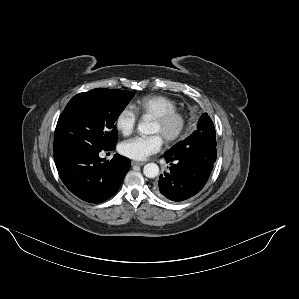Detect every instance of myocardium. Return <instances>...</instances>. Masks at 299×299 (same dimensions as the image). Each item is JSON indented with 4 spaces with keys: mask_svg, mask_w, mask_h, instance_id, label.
Returning a JSON list of instances; mask_svg holds the SVG:
<instances>
[{
    "mask_svg": "<svg viewBox=\"0 0 299 299\" xmlns=\"http://www.w3.org/2000/svg\"><path fill=\"white\" fill-rule=\"evenodd\" d=\"M153 120L162 126L172 125L171 130L163 136L167 143H173L179 140L187 127L186 115L177 109L160 114L154 117Z\"/></svg>",
    "mask_w": 299,
    "mask_h": 299,
    "instance_id": "1",
    "label": "myocardium"
}]
</instances>
